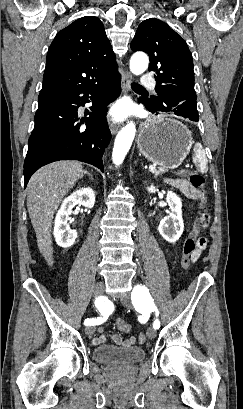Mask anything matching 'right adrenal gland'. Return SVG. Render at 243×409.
Returning <instances> with one entry per match:
<instances>
[{"mask_svg": "<svg viewBox=\"0 0 243 409\" xmlns=\"http://www.w3.org/2000/svg\"><path fill=\"white\" fill-rule=\"evenodd\" d=\"M85 174H87L90 178H92V175L89 172L85 171Z\"/></svg>", "mask_w": 243, "mask_h": 409, "instance_id": "2a0ac1e0", "label": "right adrenal gland"}]
</instances>
